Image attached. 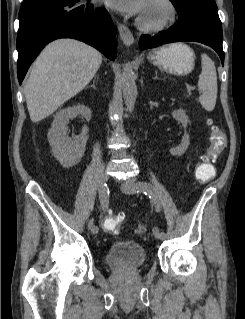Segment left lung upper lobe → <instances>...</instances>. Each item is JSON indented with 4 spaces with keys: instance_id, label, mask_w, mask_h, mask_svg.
<instances>
[{
    "instance_id": "obj_1",
    "label": "left lung upper lobe",
    "mask_w": 245,
    "mask_h": 319,
    "mask_svg": "<svg viewBox=\"0 0 245 319\" xmlns=\"http://www.w3.org/2000/svg\"><path fill=\"white\" fill-rule=\"evenodd\" d=\"M176 8L179 18L192 15L204 16L221 23L214 0H170Z\"/></svg>"
}]
</instances>
